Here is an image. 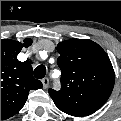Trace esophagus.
Returning a JSON list of instances; mask_svg holds the SVG:
<instances>
[{
  "label": "esophagus",
  "mask_w": 121,
  "mask_h": 121,
  "mask_svg": "<svg viewBox=\"0 0 121 121\" xmlns=\"http://www.w3.org/2000/svg\"><path fill=\"white\" fill-rule=\"evenodd\" d=\"M42 83H43V88L46 89L49 86V79L48 78H44L42 79Z\"/></svg>",
  "instance_id": "1"
}]
</instances>
